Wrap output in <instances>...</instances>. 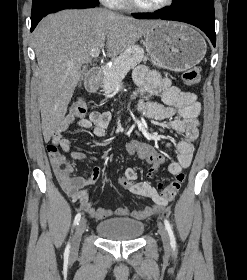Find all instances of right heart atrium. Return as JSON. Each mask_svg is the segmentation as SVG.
Listing matches in <instances>:
<instances>
[{
    "instance_id": "right-heart-atrium-1",
    "label": "right heart atrium",
    "mask_w": 247,
    "mask_h": 280,
    "mask_svg": "<svg viewBox=\"0 0 247 280\" xmlns=\"http://www.w3.org/2000/svg\"><path fill=\"white\" fill-rule=\"evenodd\" d=\"M103 4L107 6H116L120 0H100Z\"/></svg>"
}]
</instances>
